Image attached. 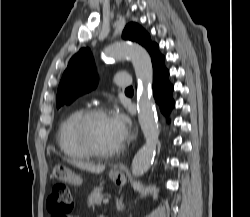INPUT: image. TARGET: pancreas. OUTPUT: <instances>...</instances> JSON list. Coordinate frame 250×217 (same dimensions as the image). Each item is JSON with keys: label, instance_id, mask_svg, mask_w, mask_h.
Returning a JSON list of instances; mask_svg holds the SVG:
<instances>
[{"label": "pancreas", "instance_id": "pancreas-1", "mask_svg": "<svg viewBox=\"0 0 250 217\" xmlns=\"http://www.w3.org/2000/svg\"><path fill=\"white\" fill-rule=\"evenodd\" d=\"M103 199L102 189L95 188L91 194L88 196L87 205L88 207H95V205H101Z\"/></svg>", "mask_w": 250, "mask_h": 217}]
</instances>
